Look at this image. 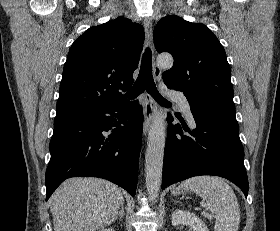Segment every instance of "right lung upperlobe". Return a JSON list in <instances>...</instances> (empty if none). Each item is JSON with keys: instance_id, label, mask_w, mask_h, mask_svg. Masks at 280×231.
I'll use <instances>...</instances> for the list:
<instances>
[{"instance_id": "right-lung-upper-lobe-1", "label": "right lung upper lobe", "mask_w": 280, "mask_h": 231, "mask_svg": "<svg viewBox=\"0 0 280 231\" xmlns=\"http://www.w3.org/2000/svg\"><path fill=\"white\" fill-rule=\"evenodd\" d=\"M144 29L118 17L86 30L71 46L64 65L55 120L125 102L138 67Z\"/></svg>"}]
</instances>
